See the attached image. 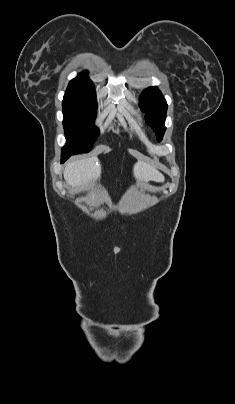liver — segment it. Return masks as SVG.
<instances>
[{"label":"liver","instance_id":"obj_1","mask_svg":"<svg viewBox=\"0 0 235 404\" xmlns=\"http://www.w3.org/2000/svg\"><path fill=\"white\" fill-rule=\"evenodd\" d=\"M101 166L97 157H89L69 162L64 169V179L75 188H83L88 183L100 178ZM138 182H163L164 176L152 165L138 161L133 168Z\"/></svg>","mask_w":235,"mask_h":404}]
</instances>
